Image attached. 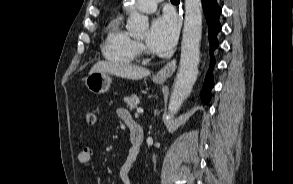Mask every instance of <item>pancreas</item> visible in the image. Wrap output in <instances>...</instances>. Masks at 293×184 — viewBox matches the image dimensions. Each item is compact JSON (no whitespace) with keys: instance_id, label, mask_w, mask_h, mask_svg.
I'll use <instances>...</instances> for the list:
<instances>
[{"instance_id":"cf45deb5","label":"pancreas","mask_w":293,"mask_h":184,"mask_svg":"<svg viewBox=\"0 0 293 184\" xmlns=\"http://www.w3.org/2000/svg\"><path fill=\"white\" fill-rule=\"evenodd\" d=\"M139 97H137L136 95H131L130 97H126L124 99V101L127 103V107L130 110H134L137 105L139 104Z\"/></svg>"}]
</instances>
